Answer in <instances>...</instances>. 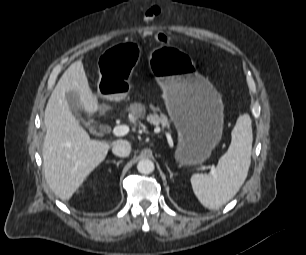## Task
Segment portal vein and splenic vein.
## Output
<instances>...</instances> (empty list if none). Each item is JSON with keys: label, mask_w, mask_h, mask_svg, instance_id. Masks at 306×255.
Masks as SVG:
<instances>
[{"label": "portal vein and splenic vein", "mask_w": 306, "mask_h": 255, "mask_svg": "<svg viewBox=\"0 0 306 255\" xmlns=\"http://www.w3.org/2000/svg\"><path fill=\"white\" fill-rule=\"evenodd\" d=\"M129 132V127L126 125L115 126L112 130L114 136H124ZM213 172V170H212Z\"/></svg>", "instance_id": "obj_1"}]
</instances>
